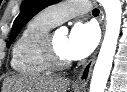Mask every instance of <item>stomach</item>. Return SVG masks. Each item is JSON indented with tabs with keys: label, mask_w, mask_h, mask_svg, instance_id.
Here are the masks:
<instances>
[{
	"label": "stomach",
	"mask_w": 127,
	"mask_h": 92,
	"mask_svg": "<svg viewBox=\"0 0 127 92\" xmlns=\"http://www.w3.org/2000/svg\"><path fill=\"white\" fill-rule=\"evenodd\" d=\"M75 92H80V89H76Z\"/></svg>",
	"instance_id": "1"
}]
</instances>
